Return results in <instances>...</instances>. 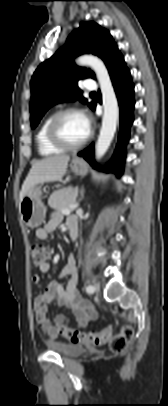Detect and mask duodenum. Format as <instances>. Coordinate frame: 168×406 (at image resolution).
Listing matches in <instances>:
<instances>
[{
  "label": "duodenum",
  "mask_w": 168,
  "mask_h": 406,
  "mask_svg": "<svg viewBox=\"0 0 168 406\" xmlns=\"http://www.w3.org/2000/svg\"><path fill=\"white\" fill-rule=\"evenodd\" d=\"M68 227H69V235H70V239L71 241L75 242L78 238V234H79V225L77 221H70L68 223Z\"/></svg>",
  "instance_id": "1"
}]
</instances>
